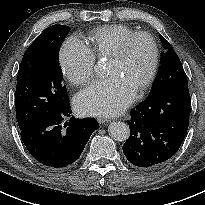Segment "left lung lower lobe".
Segmentation results:
<instances>
[{
    "label": "left lung lower lobe",
    "mask_w": 205,
    "mask_h": 205,
    "mask_svg": "<svg viewBox=\"0 0 205 205\" xmlns=\"http://www.w3.org/2000/svg\"><path fill=\"white\" fill-rule=\"evenodd\" d=\"M190 111L187 80L164 93L149 95L127 120L130 136L123 145L127 160L137 167L152 168L171 158L185 138Z\"/></svg>",
    "instance_id": "obj_1"
}]
</instances>
